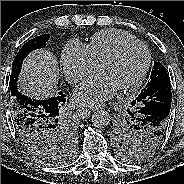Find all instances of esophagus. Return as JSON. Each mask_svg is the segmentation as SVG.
<instances>
[{
  "label": "esophagus",
  "mask_w": 184,
  "mask_h": 184,
  "mask_svg": "<svg viewBox=\"0 0 184 184\" xmlns=\"http://www.w3.org/2000/svg\"><path fill=\"white\" fill-rule=\"evenodd\" d=\"M94 109L91 108H80L79 111L82 113V115L87 116L89 115Z\"/></svg>",
  "instance_id": "1"
}]
</instances>
